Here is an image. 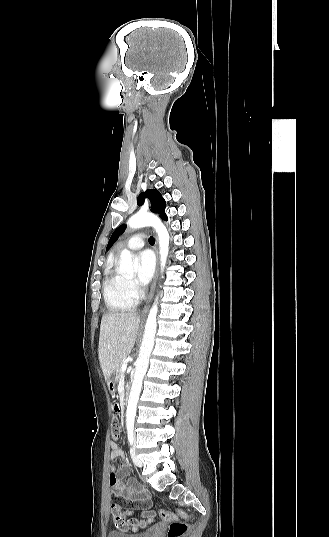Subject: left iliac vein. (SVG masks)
Segmentation results:
<instances>
[{
	"instance_id": "4c4485c4",
	"label": "left iliac vein",
	"mask_w": 329,
	"mask_h": 537,
	"mask_svg": "<svg viewBox=\"0 0 329 537\" xmlns=\"http://www.w3.org/2000/svg\"><path fill=\"white\" fill-rule=\"evenodd\" d=\"M131 457H132V461L133 463L138 466V467H141L142 466V462L141 460L136 456V453H135V448L134 447H131Z\"/></svg>"
}]
</instances>
